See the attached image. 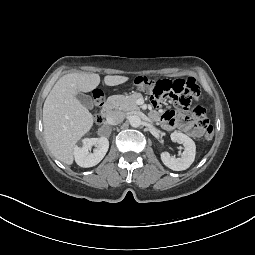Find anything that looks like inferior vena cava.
Instances as JSON below:
<instances>
[{
    "label": "inferior vena cava",
    "mask_w": 255,
    "mask_h": 255,
    "mask_svg": "<svg viewBox=\"0 0 255 255\" xmlns=\"http://www.w3.org/2000/svg\"><path fill=\"white\" fill-rule=\"evenodd\" d=\"M125 118V113L121 111H113L107 116V123L110 125H117Z\"/></svg>",
    "instance_id": "inferior-vena-cava-1"
}]
</instances>
